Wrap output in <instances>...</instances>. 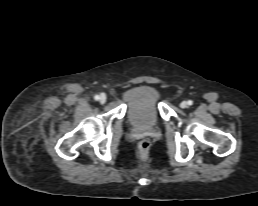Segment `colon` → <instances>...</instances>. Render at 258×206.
<instances>
[{"instance_id": "obj_1", "label": "colon", "mask_w": 258, "mask_h": 206, "mask_svg": "<svg viewBox=\"0 0 258 206\" xmlns=\"http://www.w3.org/2000/svg\"><path fill=\"white\" fill-rule=\"evenodd\" d=\"M151 147V141L148 138H144L139 142L138 149L142 156H147Z\"/></svg>"}]
</instances>
